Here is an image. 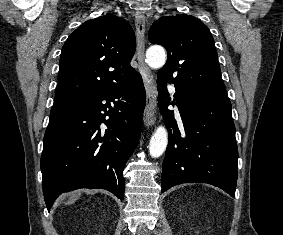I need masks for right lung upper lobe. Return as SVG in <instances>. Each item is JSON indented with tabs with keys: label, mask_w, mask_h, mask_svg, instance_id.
Listing matches in <instances>:
<instances>
[{
	"label": "right lung upper lobe",
	"mask_w": 283,
	"mask_h": 235,
	"mask_svg": "<svg viewBox=\"0 0 283 235\" xmlns=\"http://www.w3.org/2000/svg\"><path fill=\"white\" fill-rule=\"evenodd\" d=\"M135 48L133 29L122 18L107 14L83 23L62 48L55 104H71L133 78L138 72L129 62Z\"/></svg>",
	"instance_id": "obj_1"
}]
</instances>
